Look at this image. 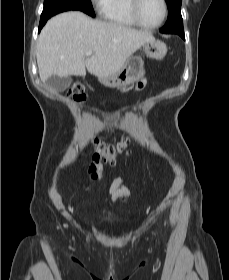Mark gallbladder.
<instances>
[{"instance_id": "bac80fb5", "label": "gallbladder", "mask_w": 229, "mask_h": 280, "mask_svg": "<svg viewBox=\"0 0 229 280\" xmlns=\"http://www.w3.org/2000/svg\"><path fill=\"white\" fill-rule=\"evenodd\" d=\"M71 77L51 76L47 80V85L57 92H64L71 84Z\"/></svg>"}]
</instances>
